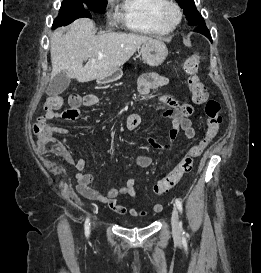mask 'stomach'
<instances>
[{
    "mask_svg": "<svg viewBox=\"0 0 261 273\" xmlns=\"http://www.w3.org/2000/svg\"><path fill=\"white\" fill-rule=\"evenodd\" d=\"M140 53L145 63L150 66L161 65L168 55V50L164 42L156 39L144 42L140 47ZM121 69L116 70L105 79H100V83H110L122 77Z\"/></svg>",
    "mask_w": 261,
    "mask_h": 273,
    "instance_id": "1",
    "label": "stomach"
}]
</instances>
